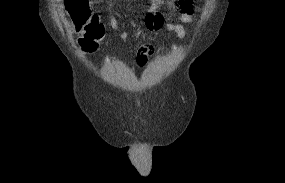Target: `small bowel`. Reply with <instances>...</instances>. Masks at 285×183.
Wrapping results in <instances>:
<instances>
[{
	"label": "small bowel",
	"mask_w": 285,
	"mask_h": 183,
	"mask_svg": "<svg viewBox=\"0 0 285 183\" xmlns=\"http://www.w3.org/2000/svg\"><path fill=\"white\" fill-rule=\"evenodd\" d=\"M161 5V0H152L151 10L145 16L146 27L152 31H159L164 28L167 31L174 33L179 39H184L187 34L184 24L192 25L194 23L193 10L190 12L184 10L185 8L193 9L192 0H180L178 2V7L180 9L178 16L179 23L165 21L163 16L157 11ZM109 25L113 30L119 29V23L114 16L110 17ZM128 38L129 33L127 31L120 32V39L122 41H126ZM153 53L154 48L152 45L142 44L138 51V63L143 65Z\"/></svg>",
	"instance_id": "obj_1"
}]
</instances>
